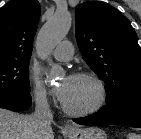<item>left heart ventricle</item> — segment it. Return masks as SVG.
<instances>
[{
	"mask_svg": "<svg viewBox=\"0 0 141 139\" xmlns=\"http://www.w3.org/2000/svg\"><path fill=\"white\" fill-rule=\"evenodd\" d=\"M98 98V89L89 79L70 77L66 99L63 101L73 109H84L92 106Z\"/></svg>",
	"mask_w": 141,
	"mask_h": 139,
	"instance_id": "1",
	"label": "left heart ventricle"
}]
</instances>
